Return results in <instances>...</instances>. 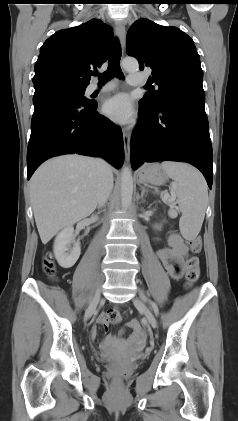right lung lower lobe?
<instances>
[{
	"label": "right lung lower lobe",
	"mask_w": 238,
	"mask_h": 421,
	"mask_svg": "<svg viewBox=\"0 0 238 421\" xmlns=\"http://www.w3.org/2000/svg\"><path fill=\"white\" fill-rule=\"evenodd\" d=\"M27 178L45 160L63 154L101 156L116 168L124 159L122 131L96 111L97 103L56 87L35 88Z\"/></svg>",
	"instance_id": "98d812e1"
}]
</instances>
